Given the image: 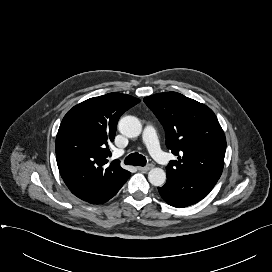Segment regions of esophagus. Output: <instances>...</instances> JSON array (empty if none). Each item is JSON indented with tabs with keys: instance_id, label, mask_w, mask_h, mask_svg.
<instances>
[{
	"instance_id": "34e87169",
	"label": "esophagus",
	"mask_w": 272,
	"mask_h": 272,
	"mask_svg": "<svg viewBox=\"0 0 272 272\" xmlns=\"http://www.w3.org/2000/svg\"><path fill=\"white\" fill-rule=\"evenodd\" d=\"M152 168H153V165L149 164V165H147L145 167H138V170L141 171V172H147V171H149Z\"/></svg>"
}]
</instances>
